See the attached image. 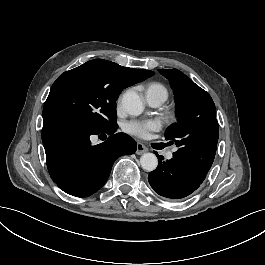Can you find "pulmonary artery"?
<instances>
[{
  "mask_svg": "<svg viewBox=\"0 0 265 265\" xmlns=\"http://www.w3.org/2000/svg\"><path fill=\"white\" fill-rule=\"evenodd\" d=\"M146 100H147V103L151 106H158L159 105L158 101H156L155 99H153L151 97H147Z\"/></svg>",
  "mask_w": 265,
  "mask_h": 265,
  "instance_id": "e3ab8cb5",
  "label": "pulmonary artery"
}]
</instances>
